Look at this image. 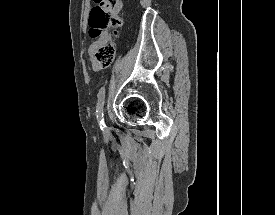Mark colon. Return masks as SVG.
Instances as JSON below:
<instances>
[{
	"label": "colon",
	"mask_w": 275,
	"mask_h": 215,
	"mask_svg": "<svg viewBox=\"0 0 275 215\" xmlns=\"http://www.w3.org/2000/svg\"><path fill=\"white\" fill-rule=\"evenodd\" d=\"M94 7L89 17L90 36L98 41L95 51V63L106 67L111 65L114 58V44L105 28L119 26L122 23L117 16L120 0H95Z\"/></svg>",
	"instance_id": "5ec220e1"
}]
</instances>
